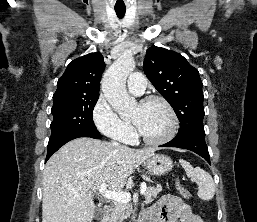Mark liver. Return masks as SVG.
<instances>
[{
  "label": "liver",
  "instance_id": "liver-1",
  "mask_svg": "<svg viewBox=\"0 0 257 222\" xmlns=\"http://www.w3.org/2000/svg\"><path fill=\"white\" fill-rule=\"evenodd\" d=\"M156 148L132 149L91 138L74 139L47 161L43 172L42 222H91L102 184L120 191Z\"/></svg>",
  "mask_w": 257,
  "mask_h": 222
}]
</instances>
